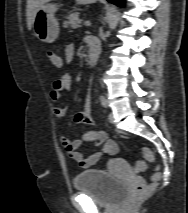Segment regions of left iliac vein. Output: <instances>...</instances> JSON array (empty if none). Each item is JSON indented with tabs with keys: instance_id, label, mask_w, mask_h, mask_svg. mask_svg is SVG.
Here are the masks:
<instances>
[{
	"instance_id": "left-iliac-vein-1",
	"label": "left iliac vein",
	"mask_w": 188,
	"mask_h": 213,
	"mask_svg": "<svg viewBox=\"0 0 188 213\" xmlns=\"http://www.w3.org/2000/svg\"><path fill=\"white\" fill-rule=\"evenodd\" d=\"M108 120H109L110 123H114V115H113L112 112H110V113L108 114Z\"/></svg>"
}]
</instances>
